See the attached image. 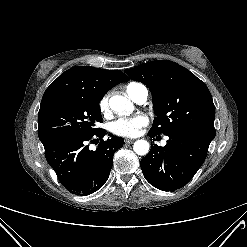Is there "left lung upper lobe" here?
<instances>
[{
  "label": "left lung upper lobe",
  "instance_id": "1",
  "mask_svg": "<svg viewBox=\"0 0 247 247\" xmlns=\"http://www.w3.org/2000/svg\"><path fill=\"white\" fill-rule=\"evenodd\" d=\"M125 72L152 92L156 117L149 132L167 135L186 131L214 139L212 96L205 83L193 73L168 60L144 63Z\"/></svg>",
  "mask_w": 247,
  "mask_h": 247
}]
</instances>
